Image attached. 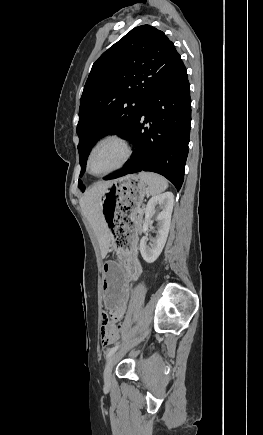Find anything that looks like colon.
Wrapping results in <instances>:
<instances>
[{"instance_id":"obj_1","label":"colon","mask_w":263,"mask_h":435,"mask_svg":"<svg viewBox=\"0 0 263 435\" xmlns=\"http://www.w3.org/2000/svg\"><path fill=\"white\" fill-rule=\"evenodd\" d=\"M105 321H109V317H108L107 314H103V323H104ZM122 328H123V322H122V321H119L118 324H117V329H122ZM107 334H108V332L103 328V329H102V332H101V340H102V341H105V340H104V337H105Z\"/></svg>"}]
</instances>
